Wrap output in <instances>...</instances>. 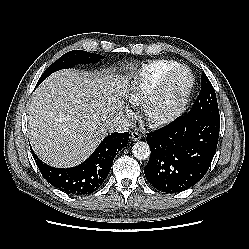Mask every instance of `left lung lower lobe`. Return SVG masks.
Masks as SVG:
<instances>
[{
    "label": "left lung lower lobe",
    "instance_id": "obj_1",
    "mask_svg": "<svg viewBox=\"0 0 249 249\" xmlns=\"http://www.w3.org/2000/svg\"><path fill=\"white\" fill-rule=\"evenodd\" d=\"M220 117L184 115L146 137L151 155L146 179L166 193L184 191L207 172L215 155Z\"/></svg>",
    "mask_w": 249,
    "mask_h": 249
}]
</instances>
